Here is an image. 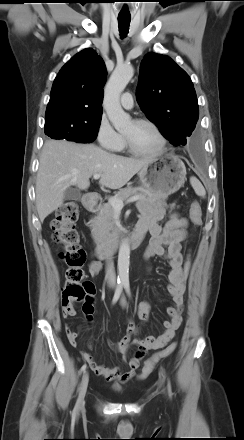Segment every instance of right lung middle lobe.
I'll return each instance as SVG.
<instances>
[{
    "label": "right lung middle lobe",
    "instance_id": "right-lung-middle-lobe-1",
    "mask_svg": "<svg viewBox=\"0 0 244 440\" xmlns=\"http://www.w3.org/2000/svg\"><path fill=\"white\" fill-rule=\"evenodd\" d=\"M100 121L89 124L68 121H45V134L52 139H66L79 143L93 142L99 130Z\"/></svg>",
    "mask_w": 244,
    "mask_h": 440
}]
</instances>
